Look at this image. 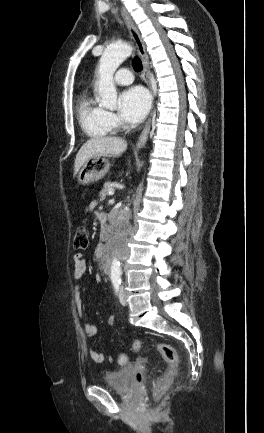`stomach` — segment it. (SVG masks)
Segmentation results:
<instances>
[{
    "label": "stomach",
    "instance_id": "stomach-1",
    "mask_svg": "<svg viewBox=\"0 0 264 433\" xmlns=\"http://www.w3.org/2000/svg\"><path fill=\"white\" fill-rule=\"evenodd\" d=\"M111 163L102 156L88 159L80 170L77 180L79 184L86 185L102 179L109 171Z\"/></svg>",
    "mask_w": 264,
    "mask_h": 433
}]
</instances>
